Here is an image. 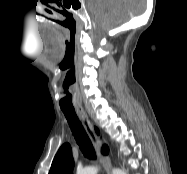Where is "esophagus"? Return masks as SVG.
Returning <instances> with one entry per match:
<instances>
[{
  "label": "esophagus",
  "instance_id": "esophagus-1",
  "mask_svg": "<svg viewBox=\"0 0 187 174\" xmlns=\"http://www.w3.org/2000/svg\"><path fill=\"white\" fill-rule=\"evenodd\" d=\"M76 113L78 118L80 119L85 131L87 132V134L89 135L95 150L97 152V155L99 157V160L101 162V164L103 165L105 171L107 174H111V161L110 158L102 153V145H103V141L101 140V138L96 134L93 124L90 121V119L88 118L87 113L85 112V110L83 108H76Z\"/></svg>",
  "mask_w": 187,
  "mask_h": 174
}]
</instances>
